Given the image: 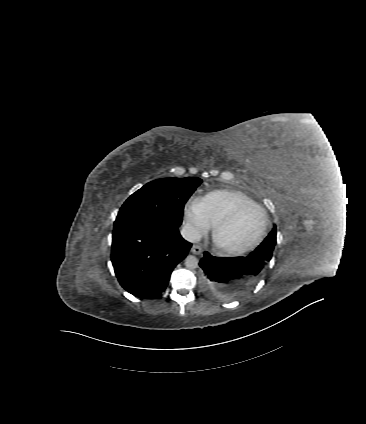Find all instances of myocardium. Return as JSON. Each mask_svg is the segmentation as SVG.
<instances>
[{
	"instance_id": "1",
	"label": "myocardium",
	"mask_w": 366,
	"mask_h": 424,
	"mask_svg": "<svg viewBox=\"0 0 366 424\" xmlns=\"http://www.w3.org/2000/svg\"><path fill=\"white\" fill-rule=\"evenodd\" d=\"M248 208H257L258 210H260L263 216V220H264L263 227L260 233L257 235V237L250 243L243 246H238V247L227 246L220 243V241L218 240V235L221 232V230L227 227L229 224H231L242 211ZM268 225H269L268 216L266 214V211L260 205H258L257 203L241 204L237 206L236 208H234L229 214H227L217 223H215L212 229V234H211L212 242L214 247L221 253H224L227 255H241L243 253L250 251L262 241V239L264 238L267 232Z\"/></svg>"
}]
</instances>
